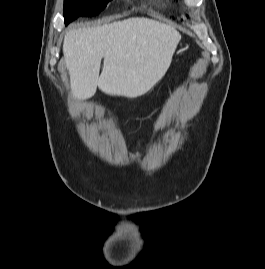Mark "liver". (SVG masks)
<instances>
[{"label":"liver","instance_id":"liver-1","mask_svg":"<svg viewBox=\"0 0 265 269\" xmlns=\"http://www.w3.org/2000/svg\"><path fill=\"white\" fill-rule=\"evenodd\" d=\"M180 39L174 27L139 17L70 30L63 54L74 97L88 99L97 87L109 95H144L166 73Z\"/></svg>","mask_w":265,"mask_h":269}]
</instances>
